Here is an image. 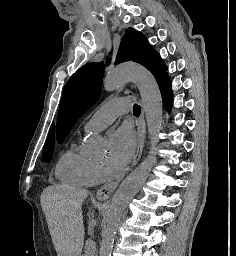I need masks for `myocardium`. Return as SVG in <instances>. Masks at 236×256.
Returning a JSON list of instances; mask_svg holds the SVG:
<instances>
[{
    "mask_svg": "<svg viewBox=\"0 0 236 256\" xmlns=\"http://www.w3.org/2000/svg\"><path fill=\"white\" fill-rule=\"evenodd\" d=\"M117 87L121 86V84L116 85Z\"/></svg>",
    "mask_w": 236,
    "mask_h": 256,
    "instance_id": "obj_1",
    "label": "myocardium"
}]
</instances>
